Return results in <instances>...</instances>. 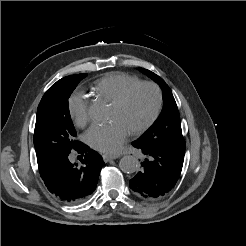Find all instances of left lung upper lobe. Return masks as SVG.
<instances>
[{"mask_svg":"<svg viewBox=\"0 0 246 246\" xmlns=\"http://www.w3.org/2000/svg\"><path fill=\"white\" fill-rule=\"evenodd\" d=\"M140 70L151 77L162 89L163 109L152 127L136 142L144 145H162L185 149V140L182 136L180 116L172 91L165 81L155 73L142 69Z\"/></svg>","mask_w":246,"mask_h":246,"instance_id":"1","label":"left lung upper lobe"}]
</instances>
